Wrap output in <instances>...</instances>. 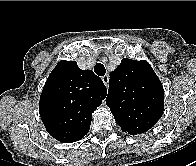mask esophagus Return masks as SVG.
Segmentation results:
<instances>
[{"mask_svg":"<svg viewBox=\"0 0 196 166\" xmlns=\"http://www.w3.org/2000/svg\"><path fill=\"white\" fill-rule=\"evenodd\" d=\"M102 81L105 84V86L108 87V85H109V76L108 75H104L102 77Z\"/></svg>","mask_w":196,"mask_h":166,"instance_id":"34e87169","label":"esophagus"}]
</instances>
